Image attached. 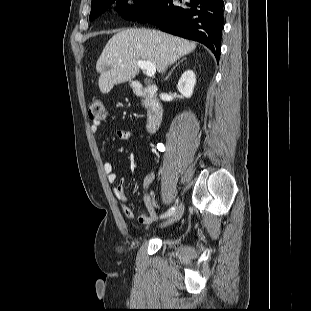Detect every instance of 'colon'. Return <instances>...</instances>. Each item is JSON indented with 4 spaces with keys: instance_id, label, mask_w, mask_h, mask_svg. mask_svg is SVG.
Listing matches in <instances>:
<instances>
[{
    "instance_id": "5ec220e1",
    "label": "colon",
    "mask_w": 311,
    "mask_h": 311,
    "mask_svg": "<svg viewBox=\"0 0 311 311\" xmlns=\"http://www.w3.org/2000/svg\"><path fill=\"white\" fill-rule=\"evenodd\" d=\"M89 119L98 122L105 117V107L101 100L93 99L88 107Z\"/></svg>"
}]
</instances>
